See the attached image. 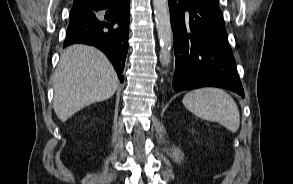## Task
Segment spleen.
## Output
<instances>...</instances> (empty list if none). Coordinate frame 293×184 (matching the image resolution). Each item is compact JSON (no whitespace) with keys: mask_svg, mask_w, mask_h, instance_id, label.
<instances>
[{"mask_svg":"<svg viewBox=\"0 0 293 184\" xmlns=\"http://www.w3.org/2000/svg\"><path fill=\"white\" fill-rule=\"evenodd\" d=\"M183 105L197 117L218 122L231 132L240 126V113L234 99L224 90L206 87L188 92Z\"/></svg>","mask_w":293,"mask_h":184,"instance_id":"spleen-1","label":"spleen"}]
</instances>
